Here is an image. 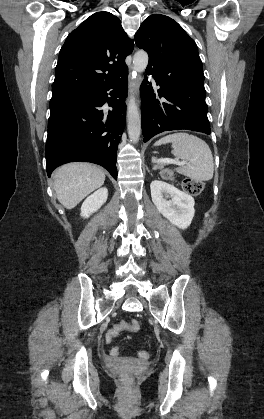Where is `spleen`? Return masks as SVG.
<instances>
[{
    "mask_svg": "<svg viewBox=\"0 0 264 419\" xmlns=\"http://www.w3.org/2000/svg\"><path fill=\"white\" fill-rule=\"evenodd\" d=\"M173 144L172 153L187 165H180L176 171L195 181H208L213 178L214 161L207 143L201 138L185 132L167 135L158 140L155 145ZM155 161V158H152Z\"/></svg>",
    "mask_w": 264,
    "mask_h": 419,
    "instance_id": "obj_1",
    "label": "spleen"
}]
</instances>
